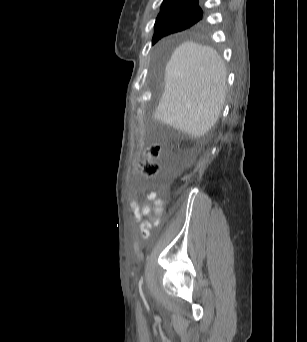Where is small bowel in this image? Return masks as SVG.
I'll return each instance as SVG.
<instances>
[{"mask_svg": "<svg viewBox=\"0 0 307 342\" xmlns=\"http://www.w3.org/2000/svg\"><path fill=\"white\" fill-rule=\"evenodd\" d=\"M149 201H153V209L148 203H145L141 207L135 203H131V209L135 220L140 222V233L142 240H146L153 226L159 224V216L162 213L164 202L158 198L157 192H151L147 195ZM142 216L150 217V221H142Z\"/></svg>", "mask_w": 307, "mask_h": 342, "instance_id": "1", "label": "small bowel"}]
</instances>
